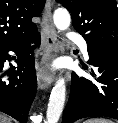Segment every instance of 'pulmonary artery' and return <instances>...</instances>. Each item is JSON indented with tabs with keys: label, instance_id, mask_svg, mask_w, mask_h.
Wrapping results in <instances>:
<instances>
[{
	"label": "pulmonary artery",
	"instance_id": "1",
	"mask_svg": "<svg viewBox=\"0 0 118 123\" xmlns=\"http://www.w3.org/2000/svg\"><path fill=\"white\" fill-rule=\"evenodd\" d=\"M72 38L75 40L79 48L81 49L82 53L86 58H89L88 48H87V42L84 38L73 35Z\"/></svg>",
	"mask_w": 118,
	"mask_h": 123
}]
</instances>
